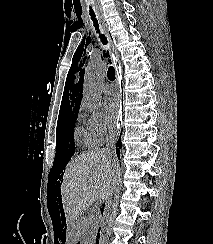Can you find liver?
I'll return each mask as SVG.
<instances>
[{
	"label": "liver",
	"instance_id": "liver-1",
	"mask_svg": "<svg viewBox=\"0 0 213 244\" xmlns=\"http://www.w3.org/2000/svg\"><path fill=\"white\" fill-rule=\"evenodd\" d=\"M111 159L107 150L91 151L82 153L67 165L61 198L70 229L77 228L75 222L95 201H106L111 195L114 173Z\"/></svg>",
	"mask_w": 213,
	"mask_h": 244
}]
</instances>
